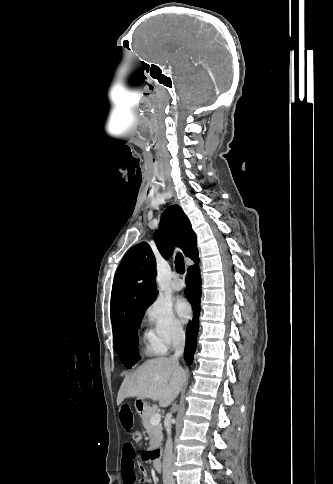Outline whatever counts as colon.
Segmentation results:
<instances>
[{
	"mask_svg": "<svg viewBox=\"0 0 333 484\" xmlns=\"http://www.w3.org/2000/svg\"><path fill=\"white\" fill-rule=\"evenodd\" d=\"M132 438L135 442H140L142 440V434L139 431H134L132 433Z\"/></svg>",
	"mask_w": 333,
	"mask_h": 484,
	"instance_id": "colon-1",
	"label": "colon"
}]
</instances>
